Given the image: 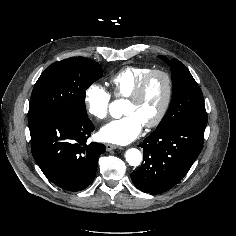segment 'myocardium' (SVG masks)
<instances>
[{
	"mask_svg": "<svg viewBox=\"0 0 236 236\" xmlns=\"http://www.w3.org/2000/svg\"><path fill=\"white\" fill-rule=\"evenodd\" d=\"M156 75H160L164 78L166 91H165L163 104L157 116L153 120L144 124L148 128L156 127L157 125H159L168 112V109L170 107L171 100H172V95H173V80H172L171 75L163 69H152L141 79V81L138 83V85L135 87L132 93L127 97V99L131 101H136L140 99L148 83Z\"/></svg>",
	"mask_w": 236,
	"mask_h": 236,
	"instance_id": "f54148a6",
	"label": "myocardium"
}]
</instances>
